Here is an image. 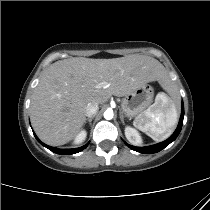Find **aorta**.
<instances>
[{
	"label": "aorta",
	"instance_id": "762f6f07",
	"mask_svg": "<svg viewBox=\"0 0 210 210\" xmlns=\"http://www.w3.org/2000/svg\"><path fill=\"white\" fill-rule=\"evenodd\" d=\"M114 116V113L112 110L108 109L104 112V118L107 120H111Z\"/></svg>",
	"mask_w": 210,
	"mask_h": 210
}]
</instances>
